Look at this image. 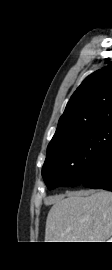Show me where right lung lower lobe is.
<instances>
[{"label":"right lung lower lobe","mask_w":112,"mask_h":270,"mask_svg":"<svg viewBox=\"0 0 112 270\" xmlns=\"http://www.w3.org/2000/svg\"><path fill=\"white\" fill-rule=\"evenodd\" d=\"M81 184L112 191V145L93 161Z\"/></svg>","instance_id":"right-lung-lower-lobe-1"}]
</instances>
